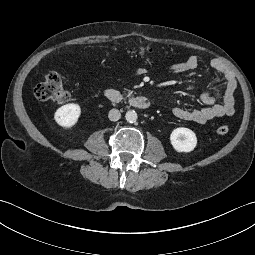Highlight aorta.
<instances>
[{"label":"aorta","mask_w":255,"mask_h":255,"mask_svg":"<svg viewBox=\"0 0 255 255\" xmlns=\"http://www.w3.org/2000/svg\"><path fill=\"white\" fill-rule=\"evenodd\" d=\"M125 118H126L127 122L134 123V122H136L138 116H137V113L134 110H129V111L126 112Z\"/></svg>","instance_id":"obj_1"}]
</instances>
